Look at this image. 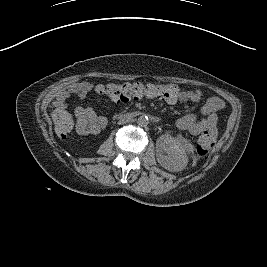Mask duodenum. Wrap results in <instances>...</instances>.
<instances>
[{
    "label": "duodenum",
    "mask_w": 267,
    "mask_h": 267,
    "mask_svg": "<svg viewBox=\"0 0 267 267\" xmlns=\"http://www.w3.org/2000/svg\"><path fill=\"white\" fill-rule=\"evenodd\" d=\"M138 115H139L138 112H132V113H131V116H132V117H136V116H138ZM158 120H159V118H154V119H153L154 122H158Z\"/></svg>",
    "instance_id": "410a0bca"
}]
</instances>
